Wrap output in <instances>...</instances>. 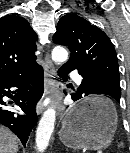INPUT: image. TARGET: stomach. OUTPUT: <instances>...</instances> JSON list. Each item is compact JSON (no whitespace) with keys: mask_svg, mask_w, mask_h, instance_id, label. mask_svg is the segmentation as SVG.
<instances>
[{"mask_svg":"<svg viewBox=\"0 0 130 153\" xmlns=\"http://www.w3.org/2000/svg\"><path fill=\"white\" fill-rule=\"evenodd\" d=\"M117 123V112L109 99L87 97L65 114L59 137L73 149L100 150L113 139Z\"/></svg>","mask_w":130,"mask_h":153,"instance_id":"0dacf381","label":"stomach"}]
</instances>
